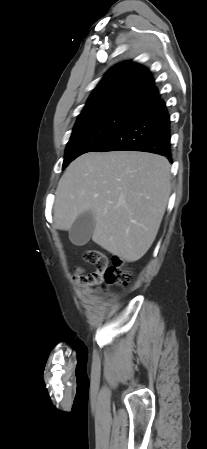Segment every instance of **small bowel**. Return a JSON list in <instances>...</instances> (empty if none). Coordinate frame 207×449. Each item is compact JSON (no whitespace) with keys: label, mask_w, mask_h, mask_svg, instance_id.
Listing matches in <instances>:
<instances>
[{"label":"small bowel","mask_w":207,"mask_h":449,"mask_svg":"<svg viewBox=\"0 0 207 449\" xmlns=\"http://www.w3.org/2000/svg\"><path fill=\"white\" fill-rule=\"evenodd\" d=\"M82 273H83V270L81 268H77L76 274L73 277L74 281H76L78 283H82V282L86 281V279L83 277ZM97 281H99V280H96L95 282H97Z\"/></svg>","instance_id":"small-bowel-1"}]
</instances>
